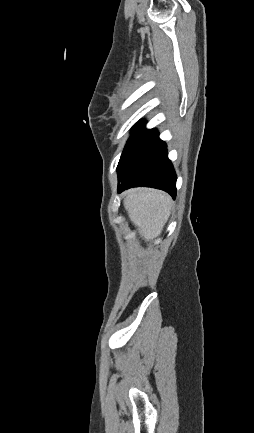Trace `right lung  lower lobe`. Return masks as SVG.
I'll use <instances>...</instances> for the list:
<instances>
[{"label": "right lung lower lobe", "mask_w": 254, "mask_h": 433, "mask_svg": "<svg viewBox=\"0 0 254 433\" xmlns=\"http://www.w3.org/2000/svg\"><path fill=\"white\" fill-rule=\"evenodd\" d=\"M118 193L137 186H147L176 196V174L167 157L166 145L155 129L144 123L133 129L121 155L118 167Z\"/></svg>", "instance_id": "98d812e1"}]
</instances>
